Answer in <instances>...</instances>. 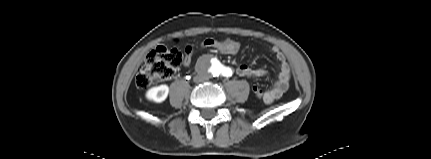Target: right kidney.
Returning <instances> with one entry per match:
<instances>
[{"label": "right kidney", "instance_id": "obj_1", "mask_svg": "<svg viewBox=\"0 0 431 159\" xmlns=\"http://www.w3.org/2000/svg\"><path fill=\"white\" fill-rule=\"evenodd\" d=\"M169 93V87L165 84L152 87L146 92V98L150 101L161 103L163 102Z\"/></svg>", "mask_w": 431, "mask_h": 159}]
</instances>
